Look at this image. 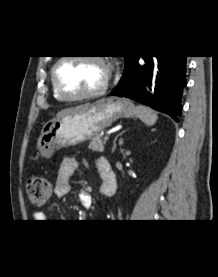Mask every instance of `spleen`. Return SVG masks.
Here are the masks:
<instances>
[{"label":"spleen","mask_w":218,"mask_h":277,"mask_svg":"<svg viewBox=\"0 0 218 277\" xmlns=\"http://www.w3.org/2000/svg\"><path fill=\"white\" fill-rule=\"evenodd\" d=\"M137 116L147 126H152L156 123L158 116L157 114L148 107L138 105L136 107Z\"/></svg>","instance_id":"spleen-1"}]
</instances>
